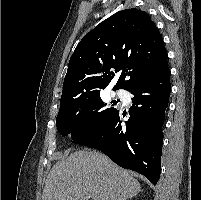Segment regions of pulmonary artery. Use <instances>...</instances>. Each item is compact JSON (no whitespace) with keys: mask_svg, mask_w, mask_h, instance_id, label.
<instances>
[{"mask_svg":"<svg viewBox=\"0 0 201 200\" xmlns=\"http://www.w3.org/2000/svg\"><path fill=\"white\" fill-rule=\"evenodd\" d=\"M116 95L120 98H122L124 96V92L123 91H116Z\"/></svg>","mask_w":201,"mask_h":200,"instance_id":"pulmonary-artery-1","label":"pulmonary artery"}]
</instances>
